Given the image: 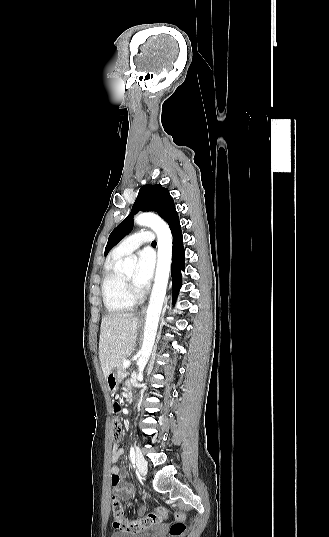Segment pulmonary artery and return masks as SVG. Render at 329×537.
<instances>
[{
    "label": "pulmonary artery",
    "instance_id": "e3ab8cb5",
    "mask_svg": "<svg viewBox=\"0 0 329 537\" xmlns=\"http://www.w3.org/2000/svg\"><path fill=\"white\" fill-rule=\"evenodd\" d=\"M154 240L151 231H139L127 237L115 249L114 254L119 256L127 255L144 244H150Z\"/></svg>",
    "mask_w": 329,
    "mask_h": 537
}]
</instances>
